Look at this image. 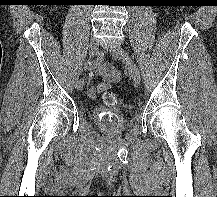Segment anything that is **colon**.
<instances>
[{"mask_svg":"<svg viewBox=\"0 0 217 197\" xmlns=\"http://www.w3.org/2000/svg\"><path fill=\"white\" fill-rule=\"evenodd\" d=\"M102 99L104 103L109 107H113L121 103L119 97L110 91H105L102 95Z\"/></svg>","mask_w":217,"mask_h":197,"instance_id":"1","label":"colon"}]
</instances>
